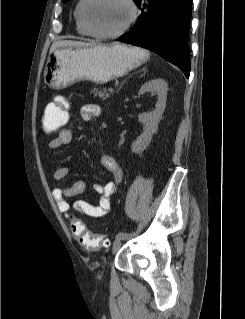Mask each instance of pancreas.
Returning a JSON list of instances; mask_svg holds the SVG:
<instances>
[{
	"label": "pancreas",
	"mask_w": 245,
	"mask_h": 319,
	"mask_svg": "<svg viewBox=\"0 0 245 319\" xmlns=\"http://www.w3.org/2000/svg\"><path fill=\"white\" fill-rule=\"evenodd\" d=\"M92 93H94L95 97H100L102 99H107L110 97L111 92H109V90L105 87L103 88H98V87H94L92 90Z\"/></svg>",
	"instance_id": "1"
}]
</instances>
